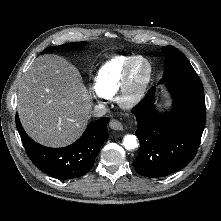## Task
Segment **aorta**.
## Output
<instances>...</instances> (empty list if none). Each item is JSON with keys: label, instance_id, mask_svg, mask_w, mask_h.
Returning a JSON list of instances; mask_svg holds the SVG:
<instances>
[{"label": "aorta", "instance_id": "obj_1", "mask_svg": "<svg viewBox=\"0 0 221 221\" xmlns=\"http://www.w3.org/2000/svg\"><path fill=\"white\" fill-rule=\"evenodd\" d=\"M123 145L127 150L135 149L138 146L135 135H125Z\"/></svg>", "mask_w": 221, "mask_h": 221}]
</instances>
